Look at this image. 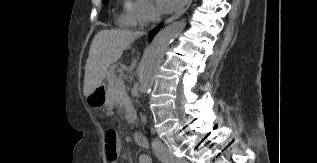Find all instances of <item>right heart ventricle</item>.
<instances>
[{"instance_id": "obj_1", "label": "right heart ventricle", "mask_w": 317, "mask_h": 163, "mask_svg": "<svg viewBox=\"0 0 317 163\" xmlns=\"http://www.w3.org/2000/svg\"><path fill=\"white\" fill-rule=\"evenodd\" d=\"M119 22H120L121 24H127V21H126L125 17H121L120 20H119Z\"/></svg>"}]
</instances>
